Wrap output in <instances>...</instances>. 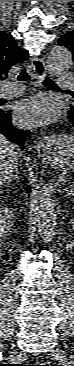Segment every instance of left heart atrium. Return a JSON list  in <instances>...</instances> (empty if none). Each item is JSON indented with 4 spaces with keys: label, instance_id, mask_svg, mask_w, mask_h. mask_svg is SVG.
Returning <instances> with one entry per match:
<instances>
[{
    "label": "left heart atrium",
    "instance_id": "1",
    "mask_svg": "<svg viewBox=\"0 0 74 366\" xmlns=\"http://www.w3.org/2000/svg\"><path fill=\"white\" fill-rule=\"evenodd\" d=\"M15 114L18 122L23 125H43L55 120L58 110L52 98L35 96L20 103Z\"/></svg>",
    "mask_w": 74,
    "mask_h": 366
}]
</instances>
